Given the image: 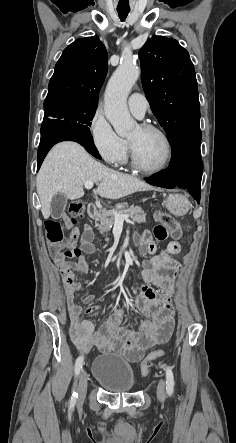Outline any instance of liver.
Instances as JSON below:
<instances>
[{"instance_id": "6515ba94", "label": "liver", "mask_w": 236, "mask_h": 443, "mask_svg": "<svg viewBox=\"0 0 236 443\" xmlns=\"http://www.w3.org/2000/svg\"><path fill=\"white\" fill-rule=\"evenodd\" d=\"M98 183L96 192L107 199H119L138 191L152 189L150 185L128 174L112 170L94 160L75 142H62L46 156L36 178L41 212L50 216V203L57 193L75 200L84 196L83 185Z\"/></svg>"}]
</instances>
